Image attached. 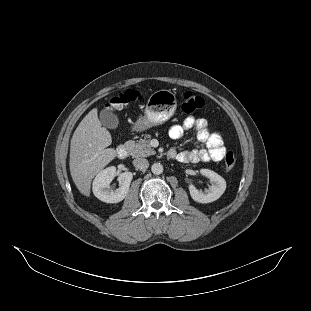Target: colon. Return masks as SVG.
I'll use <instances>...</instances> for the list:
<instances>
[{"instance_id": "colon-1", "label": "colon", "mask_w": 311, "mask_h": 311, "mask_svg": "<svg viewBox=\"0 0 311 311\" xmlns=\"http://www.w3.org/2000/svg\"><path fill=\"white\" fill-rule=\"evenodd\" d=\"M137 95L134 91H127L124 94L119 95L118 97L113 98L110 101L109 107L112 110H121L128 103L134 101ZM204 105V100L201 96L195 94L194 92H186L182 97V110L186 114H191ZM236 164V158L232 152H228L224 157V169L230 171L234 168Z\"/></svg>"}]
</instances>
